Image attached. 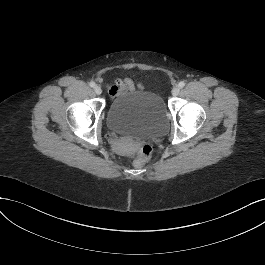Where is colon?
Listing matches in <instances>:
<instances>
[{"mask_svg": "<svg viewBox=\"0 0 265 265\" xmlns=\"http://www.w3.org/2000/svg\"><path fill=\"white\" fill-rule=\"evenodd\" d=\"M152 155V147L149 144L142 145L137 153V157L134 161L135 167H141Z\"/></svg>", "mask_w": 265, "mask_h": 265, "instance_id": "5ec220e1", "label": "colon"}]
</instances>
